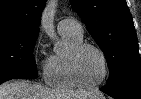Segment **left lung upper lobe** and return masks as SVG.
<instances>
[{
    "label": "left lung upper lobe",
    "mask_w": 141,
    "mask_h": 99,
    "mask_svg": "<svg viewBox=\"0 0 141 99\" xmlns=\"http://www.w3.org/2000/svg\"><path fill=\"white\" fill-rule=\"evenodd\" d=\"M105 54L107 86L141 84V58L133 20L125 0H70Z\"/></svg>",
    "instance_id": "5c2ea615"
}]
</instances>
